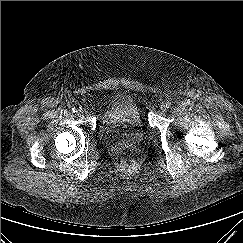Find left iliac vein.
Here are the masks:
<instances>
[{"instance_id": "1", "label": "left iliac vein", "mask_w": 243, "mask_h": 243, "mask_svg": "<svg viewBox=\"0 0 243 243\" xmlns=\"http://www.w3.org/2000/svg\"><path fill=\"white\" fill-rule=\"evenodd\" d=\"M160 108H161V110H162L163 112L166 111V105L162 104Z\"/></svg>"}]
</instances>
